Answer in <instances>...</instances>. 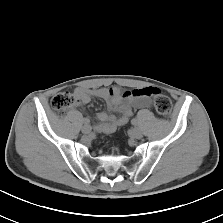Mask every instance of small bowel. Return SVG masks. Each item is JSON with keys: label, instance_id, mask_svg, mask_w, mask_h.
Instances as JSON below:
<instances>
[{"label": "small bowel", "instance_id": "obj_1", "mask_svg": "<svg viewBox=\"0 0 223 223\" xmlns=\"http://www.w3.org/2000/svg\"><path fill=\"white\" fill-rule=\"evenodd\" d=\"M153 92L154 88L151 87L126 91L118 87L96 89L78 87L75 89L74 95L77 106H83L93 98L101 99L106 103L109 112L100 111L97 113L98 123L95 125V130L99 133L110 134L129 120L132 116L133 108H148L150 106L149 97ZM84 121L89 123L88 118H85Z\"/></svg>", "mask_w": 223, "mask_h": 223}]
</instances>
